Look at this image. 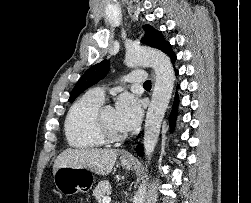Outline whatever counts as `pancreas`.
<instances>
[{"label":"pancreas","instance_id":"1","mask_svg":"<svg viewBox=\"0 0 251 203\" xmlns=\"http://www.w3.org/2000/svg\"><path fill=\"white\" fill-rule=\"evenodd\" d=\"M111 193V186L107 180L100 181L99 184L93 191V196H95L98 203H101L102 198L107 194Z\"/></svg>","mask_w":251,"mask_h":203}]
</instances>
